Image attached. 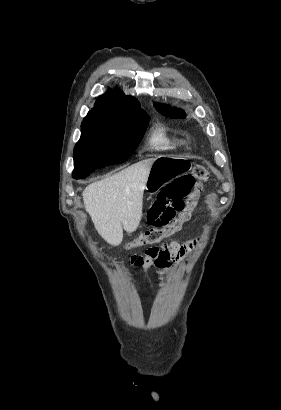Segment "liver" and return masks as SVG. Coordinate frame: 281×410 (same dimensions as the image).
Returning a JSON list of instances; mask_svg holds the SVG:
<instances>
[{
  "instance_id": "6515ba94",
  "label": "liver",
  "mask_w": 281,
  "mask_h": 410,
  "mask_svg": "<svg viewBox=\"0 0 281 410\" xmlns=\"http://www.w3.org/2000/svg\"><path fill=\"white\" fill-rule=\"evenodd\" d=\"M155 159H145L88 185L83 202L100 236L118 246L123 229L132 233L142 218L143 192Z\"/></svg>"
}]
</instances>
